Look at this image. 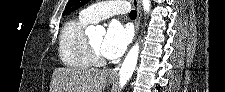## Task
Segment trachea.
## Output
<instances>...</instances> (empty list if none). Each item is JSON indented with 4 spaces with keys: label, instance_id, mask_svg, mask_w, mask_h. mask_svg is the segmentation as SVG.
Listing matches in <instances>:
<instances>
[{
    "label": "trachea",
    "instance_id": "3493384b",
    "mask_svg": "<svg viewBox=\"0 0 225 92\" xmlns=\"http://www.w3.org/2000/svg\"><path fill=\"white\" fill-rule=\"evenodd\" d=\"M129 16L131 18H136L137 17V12L135 10H131L130 13H129Z\"/></svg>",
    "mask_w": 225,
    "mask_h": 92
}]
</instances>
